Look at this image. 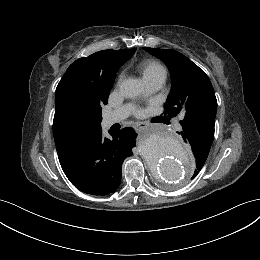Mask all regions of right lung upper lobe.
<instances>
[{
    "mask_svg": "<svg viewBox=\"0 0 260 260\" xmlns=\"http://www.w3.org/2000/svg\"><path fill=\"white\" fill-rule=\"evenodd\" d=\"M135 50H103L88 57L79 58L68 67L57 89L69 82L84 85L109 81L114 74L116 75L119 67L134 54ZM53 134L55 144L75 134L62 121L56 104Z\"/></svg>",
    "mask_w": 260,
    "mask_h": 260,
    "instance_id": "1",
    "label": "right lung upper lobe"
}]
</instances>
